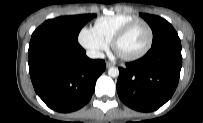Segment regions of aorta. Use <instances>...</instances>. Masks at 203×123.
<instances>
[{"label": "aorta", "mask_w": 203, "mask_h": 123, "mask_svg": "<svg viewBox=\"0 0 203 123\" xmlns=\"http://www.w3.org/2000/svg\"><path fill=\"white\" fill-rule=\"evenodd\" d=\"M108 75L110 77H113V78L118 77L119 76V69L117 67H110L108 69Z\"/></svg>", "instance_id": "aorta-1"}]
</instances>
